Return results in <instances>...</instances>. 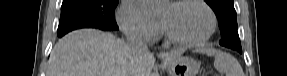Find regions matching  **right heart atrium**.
Returning a JSON list of instances; mask_svg holds the SVG:
<instances>
[{
    "label": "right heart atrium",
    "instance_id": "obj_1",
    "mask_svg": "<svg viewBox=\"0 0 287 76\" xmlns=\"http://www.w3.org/2000/svg\"><path fill=\"white\" fill-rule=\"evenodd\" d=\"M117 19L126 35L144 42L155 40L161 31L159 21L147 16L135 1H124Z\"/></svg>",
    "mask_w": 287,
    "mask_h": 76
}]
</instances>
